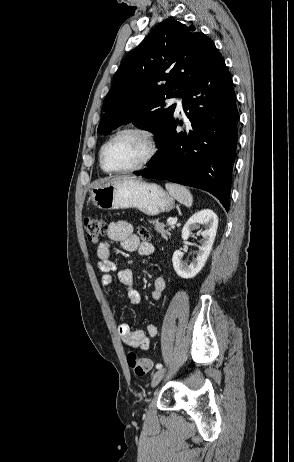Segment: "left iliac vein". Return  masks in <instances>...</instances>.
<instances>
[{
	"label": "left iliac vein",
	"mask_w": 294,
	"mask_h": 462,
	"mask_svg": "<svg viewBox=\"0 0 294 462\" xmlns=\"http://www.w3.org/2000/svg\"><path fill=\"white\" fill-rule=\"evenodd\" d=\"M165 375V370L164 369H159L158 371H156L153 375V378H152V386H156L164 377Z\"/></svg>",
	"instance_id": "obj_1"
}]
</instances>
